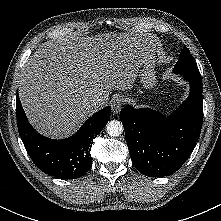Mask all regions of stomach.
I'll return each mask as SVG.
<instances>
[{
    "mask_svg": "<svg viewBox=\"0 0 221 221\" xmlns=\"http://www.w3.org/2000/svg\"><path fill=\"white\" fill-rule=\"evenodd\" d=\"M140 83L144 89H151L156 86L157 78L155 72V61L144 62L140 68Z\"/></svg>",
    "mask_w": 221,
    "mask_h": 221,
    "instance_id": "0dacf381",
    "label": "stomach"
}]
</instances>
